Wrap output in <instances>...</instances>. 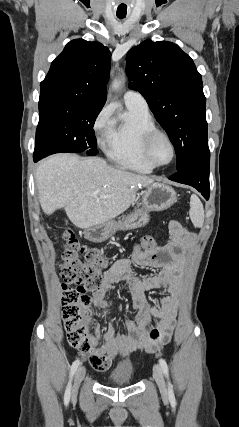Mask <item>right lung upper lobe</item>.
<instances>
[{"mask_svg": "<svg viewBox=\"0 0 239 427\" xmlns=\"http://www.w3.org/2000/svg\"><path fill=\"white\" fill-rule=\"evenodd\" d=\"M110 59L109 49L99 42L70 41L41 82L40 101H71L103 107Z\"/></svg>", "mask_w": 239, "mask_h": 427, "instance_id": "right-lung-upper-lobe-1", "label": "right lung upper lobe"}]
</instances>
